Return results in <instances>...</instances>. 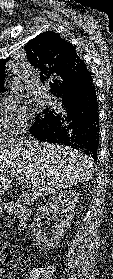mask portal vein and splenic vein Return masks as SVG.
I'll use <instances>...</instances> for the list:
<instances>
[{
    "label": "portal vein and splenic vein",
    "instance_id": "1",
    "mask_svg": "<svg viewBox=\"0 0 113 279\" xmlns=\"http://www.w3.org/2000/svg\"><path fill=\"white\" fill-rule=\"evenodd\" d=\"M8 173H9V175L11 176V177H16L17 178V180H18V182H19V184L22 186V187H28L29 186V184H30V182L26 179V178H24V177H22V176H19L16 172H11V171H8Z\"/></svg>",
    "mask_w": 113,
    "mask_h": 279
}]
</instances>
